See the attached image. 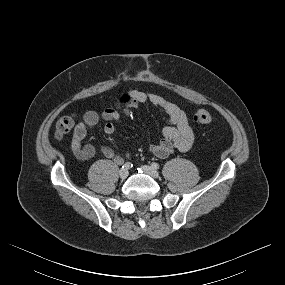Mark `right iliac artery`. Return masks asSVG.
<instances>
[{
	"instance_id": "obj_1",
	"label": "right iliac artery",
	"mask_w": 285,
	"mask_h": 285,
	"mask_svg": "<svg viewBox=\"0 0 285 285\" xmlns=\"http://www.w3.org/2000/svg\"><path fill=\"white\" fill-rule=\"evenodd\" d=\"M132 166H133V165H132L130 162H126V163L122 166V168L128 170V169H130Z\"/></svg>"
}]
</instances>
